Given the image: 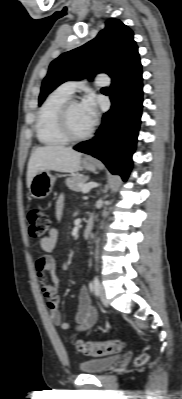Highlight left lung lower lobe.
Listing matches in <instances>:
<instances>
[{"instance_id": "1", "label": "left lung lower lobe", "mask_w": 182, "mask_h": 399, "mask_svg": "<svg viewBox=\"0 0 182 399\" xmlns=\"http://www.w3.org/2000/svg\"><path fill=\"white\" fill-rule=\"evenodd\" d=\"M141 63L112 81L111 109L102 117L96 136L79 143L75 150L101 160L113 174L127 180L132 168L143 102Z\"/></svg>"}]
</instances>
